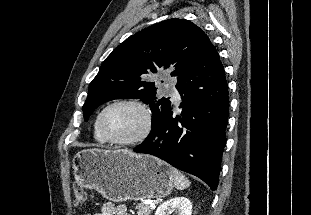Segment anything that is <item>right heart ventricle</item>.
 <instances>
[{"label":"right heart ventricle","mask_w":311,"mask_h":215,"mask_svg":"<svg viewBox=\"0 0 311 215\" xmlns=\"http://www.w3.org/2000/svg\"><path fill=\"white\" fill-rule=\"evenodd\" d=\"M97 119H98V116L94 123V137L99 143H106V140L102 137V135L99 132L98 125H97Z\"/></svg>","instance_id":"e07e8e85"}]
</instances>
